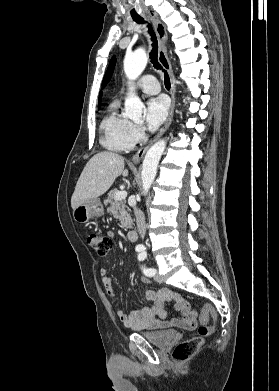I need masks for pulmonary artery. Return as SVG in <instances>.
I'll return each mask as SVG.
<instances>
[{
	"label": "pulmonary artery",
	"mask_w": 279,
	"mask_h": 391,
	"mask_svg": "<svg viewBox=\"0 0 279 391\" xmlns=\"http://www.w3.org/2000/svg\"><path fill=\"white\" fill-rule=\"evenodd\" d=\"M138 88L147 94H157L160 91L157 79L151 74L145 75L141 78Z\"/></svg>",
	"instance_id": "1"
}]
</instances>
